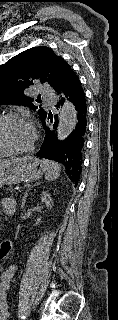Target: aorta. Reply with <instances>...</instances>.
Segmentation results:
<instances>
[{"instance_id": "1", "label": "aorta", "mask_w": 118, "mask_h": 320, "mask_svg": "<svg viewBox=\"0 0 118 320\" xmlns=\"http://www.w3.org/2000/svg\"><path fill=\"white\" fill-rule=\"evenodd\" d=\"M76 122L77 111L75 106L71 102L65 101L61 109L57 127L58 140L61 141L67 138L75 128Z\"/></svg>"}]
</instances>
